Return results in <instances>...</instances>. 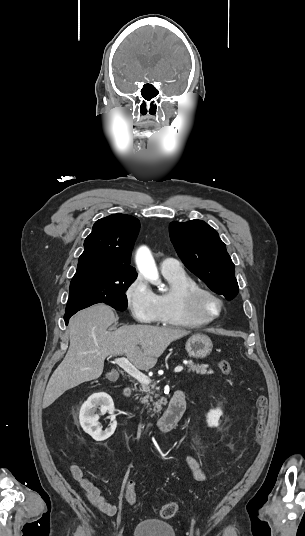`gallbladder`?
I'll list each match as a JSON object with an SVG mask.
<instances>
[{"mask_svg":"<svg viewBox=\"0 0 305 536\" xmlns=\"http://www.w3.org/2000/svg\"><path fill=\"white\" fill-rule=\"evenodd\" d=\"M107 378H109L110 374H106Z\"/></svg>","mask_w":305,"mask_h":536,"instance_id":"obj_1","label":"gallbladder"}]
</instances>
